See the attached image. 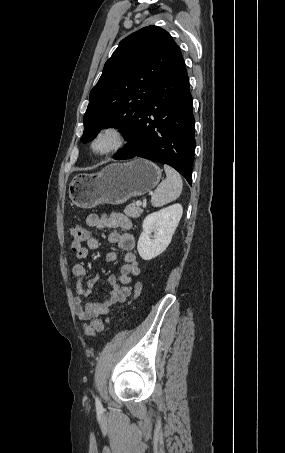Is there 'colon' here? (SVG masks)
<instances>
[{"mask_svg":"<svg viewBox=\"0 0 285 453\" xmlns=\"http://www.w3.org/2000/svg\"><path fill=\"white\" fill-rule=\"evenodd\" d=\"M88 232L85 227L82 225H74L71 229V237L72 243L71 247L72 250L75 252L80 251L83 248V244L87 239ZM108 321L107 319H93L90 323L84 326V334L88 337H93L96 333L103 330L105 322Z\"/></svg>","mask_w":285,"mask_h":453,"instance_id":"1","label":"colon"}]
</instances>
